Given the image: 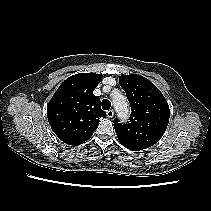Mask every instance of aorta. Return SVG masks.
Here are the masks:
<instances>
[{"label": "aorta", "instance_id": "obj_1", "mask_svg": "<svg viewBox=\"0 0 211 211\" xmlns=\"http://www.w3.org/2000/svg\"><path fill=\"white\" fill-rule=\"evenodd\" d=\"M112 101L118 115L121 118H126L129 113V107H128L126 97L122 95L121 93H118L113 96Z\"/></svg>", "mask_w": 211, "mask_h": 211}]
</instances>
